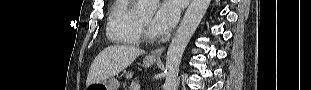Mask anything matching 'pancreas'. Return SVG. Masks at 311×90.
I'll use <instances>...</instances> for the list:
<instances>
[{
  "instance_id": "obj_1",
  "label": "pancreas",
  "mask_w": 311,
  "mask_h": 90,
  "mask_svg": "<svg viewBox=\"0 0 311 90\" xmlns=\"http://www.w3.org/2000/svg\"><path fill=\"white\" fill-rule=\"evenodd\" d=\"M129 90H139V84L135 81L129 86Z\"/></svg>"
}]
</instances>
